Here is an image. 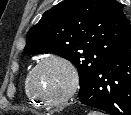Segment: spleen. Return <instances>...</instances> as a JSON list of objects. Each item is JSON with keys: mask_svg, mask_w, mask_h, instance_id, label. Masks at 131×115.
<instances>
[{"mask_svg": "<svg viewBox=\"0 0 131 115\" xmlns=\"http://www.w3.org/2000/svg\"><path fill=\"white\" fill-rule=\"evenodd\" d=\"M88 115H103V114H101V113H99V112H91V113H89Z\"/></svg>", "mask_w": 131, "mask_h": 115, "instance_id": "1", "label": "spleen"}]
</instances>
